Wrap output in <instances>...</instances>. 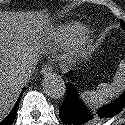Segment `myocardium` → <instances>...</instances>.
Listing matches in <instances>:
<instances>
[{"mask_svg":"<svg viewBox=\"0 0 125 125\" xmlns=\"http://www.w3.org/2000/svg\"><path fill=\"white\" fill-rule=\"evenodd\" d=\"M89 41L90 40L88 38L82 39L79 45L73 49V54L74 55L84 54V52L88 47Z\"/></svg>","mask_w":125,"mask_h":125,"instance_id":"1","label":"myocardium"}]
</instances>
